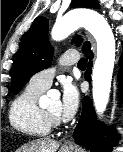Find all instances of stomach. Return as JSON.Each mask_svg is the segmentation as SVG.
<instances>
[{
	"mask_svg": "<svg viewBox=\"0 0 123 152\" xmlns=\"http://www.w3.org/2000/svg\"><path fill=\"white\" fill-rule=\"evenodd\" d=\"M59 152H71L69 148H61Z\"/></svg>",
	"mask_w": 123,
	"mask_h": 152,
	"instance_id": "0dacf381",
	"label": "stomach"
}]
</instances>
